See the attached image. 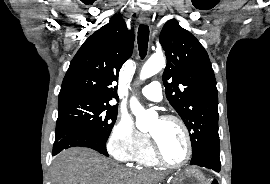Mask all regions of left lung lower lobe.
I'll list each match as a JSON object with an SVG mask.
<instances>
[{
  "instance_id": "0a47b994",
  "label": "left lung lower lobe",
  "mask_w": 270,
  "mask_h": 184,
  "mask_svg": "<svg viewBox=\"0 0 270 184\" xmlns=\"http://www.w3.org/2000/svg\"><path fill=\"white\" fill-rule=\"evenodd\" d=\"M192 165H198L212 169L216 172L220 171V158L219 150H206L194 161H191Z\"/></svg>"
}]
</instances>
